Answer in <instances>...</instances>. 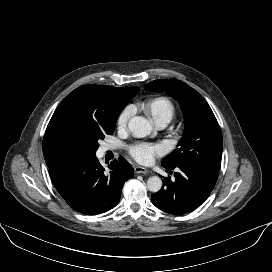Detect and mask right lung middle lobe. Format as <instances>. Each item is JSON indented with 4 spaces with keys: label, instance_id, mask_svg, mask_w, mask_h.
<instances>
[{
    "label": "right lung middle lobe",
    "instance_id": "dd1d6c3e",
    "mask_svg": "<svg viewBox=\"0 0 272 272\" xmlns=\"http://www.w3.org/2000/svg\"><path fill=\"white\" fill-rule=\"evenodd\" d=\"M115 126L107 133L111 135ZM105 134H95L84 139H74L67 143L63 153L65 161L80 159L88 155H95L99 147L98 141L104 138Z\"/></svg>",
    "mask_w": 272,
    "mask_h": 272
}]
</instances>
